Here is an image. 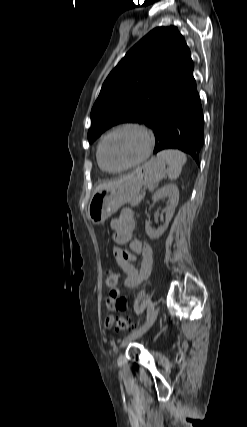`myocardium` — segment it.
Here are the masks:
<instances>
[{"label": "myocardium", "mask_w": 247, "mask_h": 427, "mask_svg": "<svg viewBox=\"0 0 247 427\" xmlns=\"http://www.w3.org/2000/svg\"><path fill=\"white\" fill-rule=\"evenodd\" d=\"M123 129H135V130L139 131L140 133H142L146 139L145 150H144L143 154L136 161H134V162H132L126 166H123V167L117 168V169L108 168L105 165V163L103 161V157H102V151H103L104 144L113 134H115L118 131L123 130ZM154 142H155L154 135H153L152 131L147 126H145L141 123H137V122L121 123V124L115 126L114 128H112L108 133H106L105 136L100 141L99 146H98V151H97L98 162H99L101 168L103 170H105L106 172H109V173H118V172L128 170L130 168H133V167L138 166L139 164L143 163L149 157V155L153 149Z\"/></svg>", "instance_id": "1"}]
</instances>
